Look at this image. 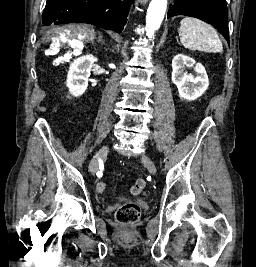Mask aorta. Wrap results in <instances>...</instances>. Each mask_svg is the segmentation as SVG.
I'll use <instances>...</instances> for the list:
<instances>
[{"label": "aorta", "mask_w": 256, "mask_h": 267, "mask_svg": "<svg viewBox=\"0 0 256 267\" xmlns=\"http://www.w3.org/2000/svg\"><path fill=\"white\" fill-rule=\"evenodd\" d=\"M167 10V0H151L146 14V32L148 38H153L159 30Z\"/></svg>", "instance_id": "obj_1"}]
</instances>
